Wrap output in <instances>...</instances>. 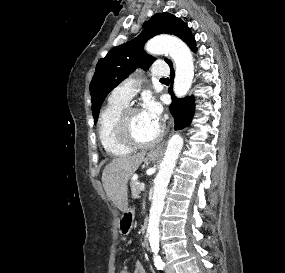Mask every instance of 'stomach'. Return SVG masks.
<instances>
[{
	"mask_svg": "<svg viewBox=\"0 0 285 273\" xmlns=\"http://www.w3.org/2000/svg\"><path fill=\"white\" fill-rule=\"evenodd\" d=\"M158 158V154H155L154 152H150L147 155L146 160L147 161H155ZM134 218V210L132 208H129L123 215V218L121 219V224H120V232L123 235H127L130 232V229L132 228V224L129 229H125L124 225L126 221H131Z\"/></svg>",
	"mask_w": 285,
	"mask_h": 273,
	"instance_id": "0dacf381",
	"label": "stomach"
}]
</instances>
